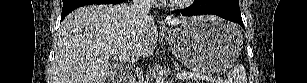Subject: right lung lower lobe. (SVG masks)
<instances>
[{"label":"right lung lower lobe","instance_id":"98d812e1","mask_svg":"<svg viewBox=\"0 0 307 83\" xmlns=\"http://www.w3.org/2000/svg\"><path fill=\"white\" fill-rule=\"evenodd\" d=\"M123 0H64L61 14V20L73 10L92 4H119Z\"/></svg>","mask_w":307,"mask_h":83}]
</instances>
